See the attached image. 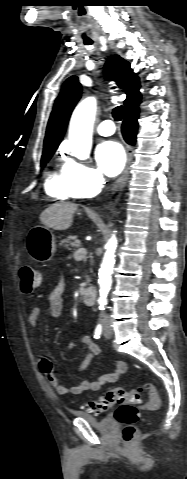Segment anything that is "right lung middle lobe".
<instances>
[{
	"mask_svg": "<svg viewBox=\"0 0 187 479\" xmlns=\"http://www.w3.org/2000/svg\"><path fill=\"white\" fill-rule=\"evenodd\" d=\"M54 152H55V150H48V151L43 152L42 159H41V165L42 166H44L49 161V159L52 157Z\"/></svg>",
	"mask_w": 187,
	"mask_h": 479,
	"instance_id": "right-lung-middle-lobe-1",
	"label": "right lung middle lobe"
}]
</instances>
